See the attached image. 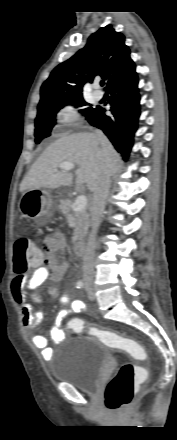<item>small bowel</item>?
Listing matches in <instances>:
<instances>
[{
  "instance_id": "1",
  "label": "small bowel",
  "mask_w": 177,
  "mask_h": 440,
  "mask_svg": "<svg viewBox=\"0 0 177 440\" xmlns=\"http://www.w3.org/2000/svg\"><path fill=\"white\" fill-rule=\"evenodd\" d=\"M66 243V237L61 232H54L46 237L43 243L45 257L42 262L38 264L30 276L16 274L10 284L11 295L21 311L23 326L34 328L43 320L44 313L42 310L33 309L28 301L29 291H33L31 296L33 302L40 303L42 299L38 291L43 284L49 282L47 288L49 295L54 298L58 297L63 306L51 329V339L55 343H59L65 338V334L60 328L62 321L70 313L82 314L86 311L84 302L73 300L69 292L59 293L57 284L62 281L68 268L67 262L63 259ZM32 342L34 347L40 350L43 358L49 359L51 357L52 349L48 345L46 336L34 335Z\"/></svg>"
}]
</instances>
